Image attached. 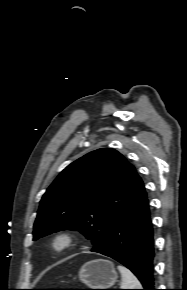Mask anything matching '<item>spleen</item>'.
Segmentation results:
<instances>
[{"mask_svg":"<svg viewBox=\"0 0 187 290\" xmlns=\"http://www.w3.org/2000/svg\"><path fill=\"white\" fill-rule=\"evenodd\" d=\"M117 268L122 277L121 289H141L139 280L128 268L123 265H118Z\"/></svg>","mask_w":187,"mask_h":290,"instance_id":"3e777b00","label":"spleen"}]
</instances>
